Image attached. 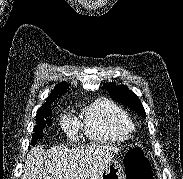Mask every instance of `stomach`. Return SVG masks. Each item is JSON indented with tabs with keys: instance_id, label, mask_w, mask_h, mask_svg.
<instances>
[{
	"instance_id": "stomach-1",
	"label": "stomach",
	"mask_w": 183,
	"mask_h": 179,
	"mask_svg": "<svg viewBox=\"0 0 183 179\" xmlns=\"http://www.w3.org/2000/svg\"><path fill=\"white\" fill-rule=\"evenodd\" d=\"M99 179H125L123 166L116 160L110 161L103 170Z\"/></svg>"
}]
</instances>
